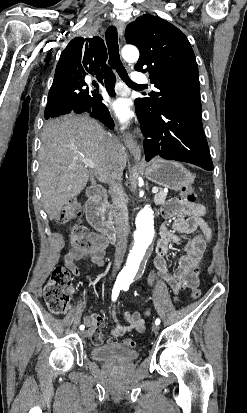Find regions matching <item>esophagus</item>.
I'll use <instances>...</instances> for the list:
<instances>
[{"label": "esophagus", "mask_w": 247, "mask_h": 413, "mask_svg": "<svg viewBox=\"0 0 247 413\" xmlns=\"http://www.w3.org/2000/svg\"><path fill=\"white\" fill-rule=\"evenodd\" d=\"M115 27L117 28L119 36L122 35L125 24L122 21H116ZM123 141L125 145L129 148L133 156L138 159L141 156V148L137 142L128 133L123 134Z\"/></svg>", "instance_id": "1"}]
</instances>
